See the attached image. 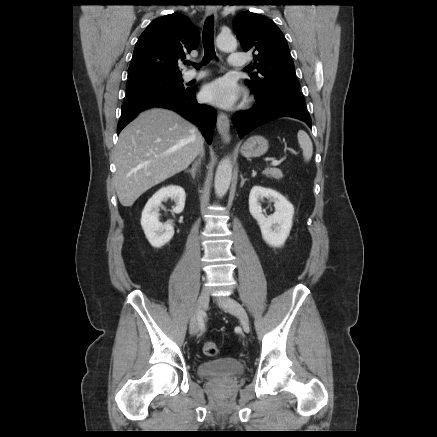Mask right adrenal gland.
<instances>
[{
  "label": "right adrenal gland",
  "mask_w": 437,
  "mask_h": 437,
  "mask_svg": "<svg viewBox=\"0 0 437 437\" xmlns=\"http://www.w3.org/2000/svg\"><path fill=\"white\" fill-rule=\"evenodd\" d=\"M200 165H201V160L198 159V160L194 161V163L192 164V168L189 170H186L185 172L190 173L192 178L195 179L196 172L198 171V168L200 167Z\"/></svg>",
  "instance_id": "right-adrenal-gland-1"
}]
</instances>
